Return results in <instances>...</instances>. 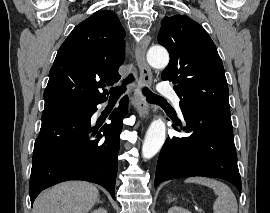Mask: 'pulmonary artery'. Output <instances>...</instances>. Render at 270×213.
<instances>
[{"label": "pulmonary artery", "instance_id": "e3ab8cb5", "mask_svg": "<svg viewBox=\"0 0 270 213\" xmlns=\"http://www.w3.org/2000/svg\"><path fill=\"white\" fill-rule=\"evenodd\" d=\"M158 91L161 95L168 96L172 99L174 105L180 112V98L174 92L173 88L166 82H161L158 86Z\"/></svg>", "mask_w": 270, "mask_h": 213}]
</instances>
